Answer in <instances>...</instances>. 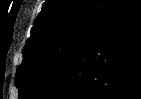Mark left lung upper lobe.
<instances>
[{
    "label": "left lung upper lobe",
    "instance_id": "left-lung-upper-lobe-1",
    "mask_svg": "<svg viewBox=\"0 0 141 99\" xmlns=\"http://www.w3.org/2000/svg\"><path fill=\"white\" fill-rule=\"evenodd\" d=\"M121 1L46 0L17 68L19 99H37L50 88Z\"/></svg>",
    "mask_w": 141,
    "mask_h": 99
}]
</instances>
